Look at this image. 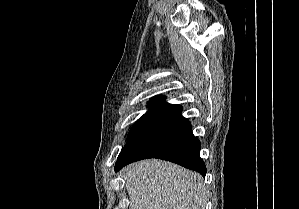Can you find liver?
<instances>
[{
    "label": "liver",
    "instance_id": "obj_1",
    "mask_svg": "<svg viewBox=\"0 0 299 209\" xmlns=\"http://www.w3.org/2000/svg\"><path fill=\"white\" fill-rule=\"evenodd\" d=\"M129 209H204L202 177L162 160H145L123 170Z\"/></svg>",
    "mask_w": 299,
    "mask_h": 209
}]
</instances>
